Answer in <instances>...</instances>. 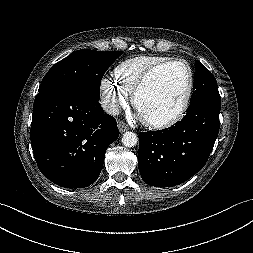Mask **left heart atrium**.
Segmentation results:
<instances>
[{
  "mask_svg": "<svg viewBox=\"0 0 253 253\" xmlns=\"http://www.w3.org/2000/svg\"><path fill=\"white\" fill-rule=\"evenodd\" d=\"M137 118L142 119L141 115L137 112L135 115Z\"/></svg>",
  "mask_w": 253,
  "mask_h": 253,
  "instance_id": "1",
  "label": "left heart atrium"
}]
</instances>
